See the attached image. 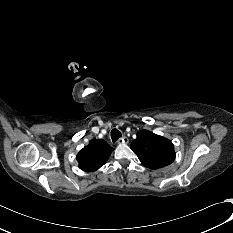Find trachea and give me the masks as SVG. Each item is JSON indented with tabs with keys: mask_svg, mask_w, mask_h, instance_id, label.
<instances>
[{
	"mask_svg": "<svg viewBox=\"0 0 233 233\" xmlns=\"http://www.w3.org/2000/svg\"><path fill=\"white\" fill-rule=\"evenodd\" d=\"M121 137V132L117 129L111 131L112 141L115 143Z\"/></svg>",
	"mask_w": 233,
	"mask_h": 233,
	"instance_id": "3493384b",
	"label": "trachea"
}]
</instances>
